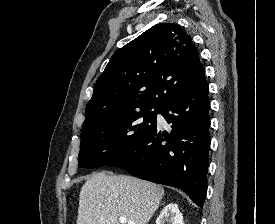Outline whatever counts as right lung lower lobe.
Masks as SVG:
<instances>
[{"mask_svg":"<svg viewBox=\"0 0 275 224\" xmlns=\"http://www.w3.org/2000/svg\"><path fill=\"white\" fill-rule=\"evenodd\" d=\"M208 91L202 73L161 109L172 130L168 133L156 127L110 165L144 180L180 188L202 207L207 192L211 143Z\"/></svg>","mask_w":275,"mask_h":224,"instance_id":"right-lung-lower-lobe-1","label":"right lung lower lobe"}]
</instances>
